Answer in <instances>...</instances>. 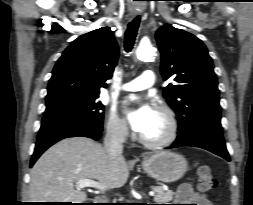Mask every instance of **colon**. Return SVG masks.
I'll return each instance as SVG.
<instances>
[{
	"label": "colon",
	"mask_w": 253,
	"mask_h": 205,
	"mask_svg": "<svg viewBox=\"0 0 253 205\" xmlns=\"http://www.w3.org/2000/svg\"><path fill=\"white\" fill-rule=\"evenodd\" d=\"M198 189L207 192L216 186V178L208 165H202L197 172Z\"/></svg>",
	"instance_id": "5ec220e1"
}]
</instances>
